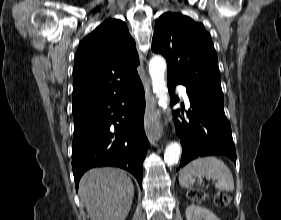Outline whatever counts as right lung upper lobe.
I'll return each mask as SVG.
<instances>
[{
	"instance_id": "1",
	"label": "right lung upper lobe",
	"mask_w": 281,
	"mask_h": 220,
	"mask_svg": "<svg viewBox=\"0 0 281 220\" xmlns=\"http://www.w3.org/2000/svg\"><path fill=\"white\" fill-rule=\"evenodd\" d=\"M135 41L126 24L109 19L79 44L73 77V115L119 95L140 80Z\"/></svg>"
}]
</instances>
